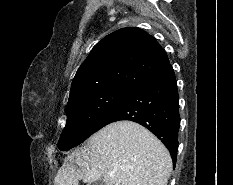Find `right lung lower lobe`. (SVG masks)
<instances>
[{"label": "right lung lower lobe", "mask_w": 233, "mask_h": 185, "mask_svg": "<svg viewBox=\"0 0 233 185\" xmlns=\"http://www.w3.org/2000/svg\"><path fill=\"white\" fill-rule=\"evenodd\" d=\"M178 101L176 78L172 66L169 65L131 89L102 120L97 131L111 122L135 121L163 142L175 165L180 126Z\"/></svg>", "instance_id": "1"}]
</instances>
